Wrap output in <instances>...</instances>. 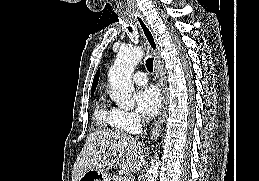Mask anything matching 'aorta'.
Segmentation results:
<instances>
[{"label":"aorta","mask_w":259,"mask_h":181,"mask_svg":"<svg viewBox=\"0 0 259 181\" xmlns=\"http://www.w3.org/2000/svg\"><path fill=\"white\" fill-rule=\"evenodd\" d=\"M142 57V48L122 47L109 70L108 78L111 86V99L121 108L132 109L134 107L132 74ZM159 165V156L156 153L147 172V181H157Z\"/></svg>","instance_id":"obj_1"}]
</instances>
